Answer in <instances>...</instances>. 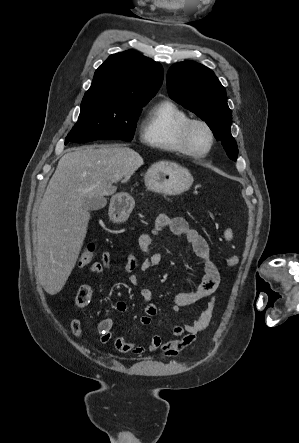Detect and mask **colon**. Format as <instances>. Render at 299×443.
Segmentation results:
<instances>
[{
	"mask_svg": "<svg viewBox=\"0 0 299 443\" xmlns=\"http://www.w3.org/2000/svg\"><path fill=\"white\" fill-rule=\"evenodd\" d=\"M94 255H95V246H94V244H88L82 250V253H81L79 261H78V264L80 266H82V267L89 265L93 261ZM226 261H227V264L230 267H235L239 263V259H238V257L236 255L228 256Z\"/></svg>",
	"mask_w": 299,
	"mask_h": 443,
	"instance_id": "1",
	"label": "colon"
}]
</instances>
